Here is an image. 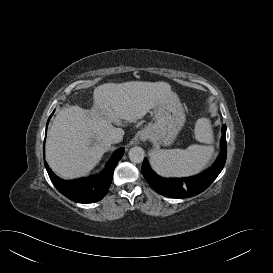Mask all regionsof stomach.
<instances>
[{
  "instance_id": "0dacf381",
  "label": "stomach",
  "mask_w": 273,
  "mask_h": 273,
  "mask_svg": "<svg viewBox=\"0 0 273 273\" xmlns=\"http://www.w3.org/2000/svg\"><path fill=\"white\" fill-rule=\"evenodd\" d=\"M154 122L143 131L157 145H170L185 123L184 109L176 93L166 95L153 107Z\"/></svg>"
}]
</instances>
